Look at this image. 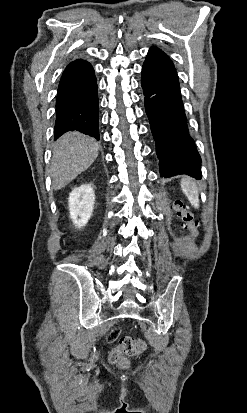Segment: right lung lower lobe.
Returning a JSON list of instances; mask_svg holds the SVG:
<instances>
[{
  "label": "right lung lower lobe",
  "instance_id": "obj_1",
  "mask_svg": "<svg viewBox=\"0 0 247 413\" xmlns=\"http://www.w3.org/2000/svg\"><path fill=\"white\" fill-rule=\"evenodd\" d=\"M98 104L93 67L82 59L71 62L64 70L58 86L55 140L70 130L99 140Z\"/></svg>",
  "mask_w": 247,
  "mask_h": 413
}]
</instances>
